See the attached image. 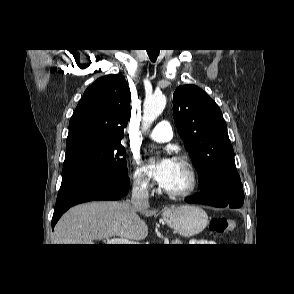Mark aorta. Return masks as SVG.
<instances>
[{"label": "aorta", "mask_w": 294, "mask_h": 294, "mask_svg": "<svg viewBox=\"0 0 294 294\" xmlns=\"http://www.w3.org/2000/svg\"><path fill=\"white\" fill-rule=\"evenodd\" d=\"M166 106V97L163 94H155L146 98L143 106L142 129L146 131L152 122L163 112Z\"/></svg>", "instance_id": "762f6f07"}]
</instances>
